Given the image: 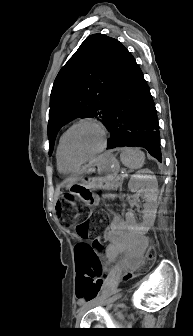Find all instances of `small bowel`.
Returning a JSON list of instances; mask_svg holds the SVG:
<instances>
[{
    "label": "small bowel",
    "instance_id": "obj_1",
    "mask_svg": "<svg viewBox=\"0 0 193 336\" xmlns=\"http://www.w3.org/2000/svg\"><path fill=\"white\" fill-rule=\"evenodd\" d=\"M109 244L105 250V258L111 263L120 259V263L128 270H134L141 263V252L146 246L145 238L136 233L132 227L122 220L115 218L109 230L105 233ZM108 283L118 281V272L108 270ZM94 284L88 273L79 272L78 288H84L88 294L92 293Z\"/></svg>",
    "mask_w": 193,
    "mask_h": 336
}]
</instances>
